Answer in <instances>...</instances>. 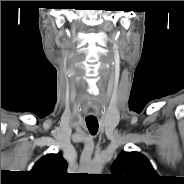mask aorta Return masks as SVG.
<instances>
[{"label": "aorta", "mask_w": 184, "mask_h": 184, "mask_svg": "<svg viewBox=\"0 0 184 184\" xmlns=\"http://www.w3.org/2000/svg\"><path fill=\"white\" fill-rule=\"evenodd\" d=\"M103 165L101 162H94L92 163L89 168H88V173L89 174H100L102 171Z\"/></svg>", "instance_id": "aorta-1"}]
</instances>
